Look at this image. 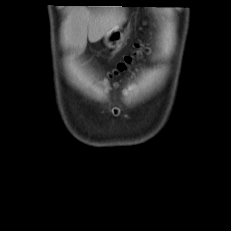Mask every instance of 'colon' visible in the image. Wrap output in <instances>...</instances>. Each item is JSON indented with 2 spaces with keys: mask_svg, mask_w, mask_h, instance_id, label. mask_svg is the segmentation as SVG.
I'll return each mask as SVG.
<instances>
[{
  "mask_svg": "<svg viewBox=\"0 0 231 231\" xmlns=\"http://www.w3.org/2000/svg\"><path fill=\"white\" fill-rule=\"evenodd\" d=\"M133 60H134L133 56L125 57L124 60L118 64L115 70V74H119V73L126 71L133 63Z\"/></svg>",
  "mask_w": 231,
  "mask_h": 231,
  "instance_id": "colon-1",
  "label": "colon"
}]
</instances>
